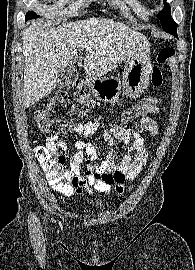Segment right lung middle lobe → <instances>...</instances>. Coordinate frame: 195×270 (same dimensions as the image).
<instances>
[{
  "label": "right lung middle lobe",
  "instance_id": "right-lung-middle-lobe-1",
  "mask_svg": "<svg viewBox=\"0 0 195 270\" xmlns=\"http://www.w3.org/2000/svg\"><path fill=\"white\" fill-rule=\"evenodd\" d=\"M27 14H35L34 12H32V11H29ZM38 17V16H37Z\"/></svg>",
  "mask_w": 195,
  "mask_h": 270
}]
</instances>
